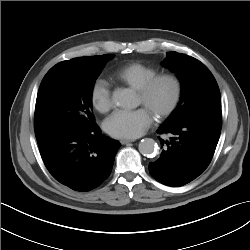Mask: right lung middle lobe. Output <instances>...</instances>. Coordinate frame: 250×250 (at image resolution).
Listing matches in <instances>:
<instances>
[{"label":"right lung middle lobe","instance_id":"dd1d6c3e","mask_svg":"<svg viewBox=\"0 0 250 250\" xmlns=\"http://www.w3.org/2000/svg\"><path fill=\"white\" fill-rule=\"evenodd\" d=\"M113 54L99 55L88 66L44 77L35 107V135L83 132L96 126L92 115L95 80Z\"/></svg>","mask_w":250,"mask_h":250}]
</instances>
